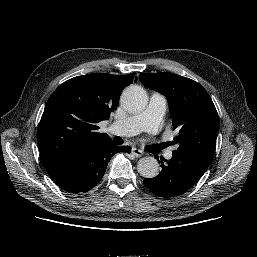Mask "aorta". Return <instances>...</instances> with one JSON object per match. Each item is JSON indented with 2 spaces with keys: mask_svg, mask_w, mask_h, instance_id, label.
Wrapping results in <instances>:
<instances>
[{
  "mask_svg": "<svg viewBox=\"0 0 257 257\" xmlns=\"http://www.w3.org/2000/svg\"><path fill=\"white\" fill-rule=\"evenodd\" d=\"M120 102L124 110L139 112L147 105V93L142 87L132 85L123 91ZM137 170L145 178H154L158 175L159 163L154 157H143L137 164Z\"/></svg>",
  "mask_w": 257,
  "mask_h": 257,
  "instance_id": "obj_1",
  "label": "aorta"
}]
</instances>
